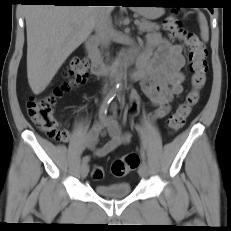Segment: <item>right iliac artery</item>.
<instances>
[{
  "label": "right iliac artery",
  "mask_w": 231,
  "mask_h": 231,
  "mask_svg": "<svg viewBox=\"0 0 231 231\" xmlns=\"http://www.w3.org/2000/svg\"><path fill=\"white\" fill-rule=\"evenodd\" d=\"M116 92H117L116 89H112L104 98L99 110V119H104L106 117L109 104L115 98ZM89 160H90L89 156H84L82 159V163L87 164Z\"/></svg>",
  "instance_id": "82829eb1"
}]
</instances>
